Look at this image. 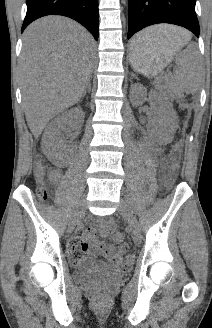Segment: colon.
I'll use <instances>...</instances> for the list:
<instances>
[{
    "label": "colon",
    "instance_id": "obj_1",
    "mask_svg": "<svg viewBox=\"0 0 212 328\" xmlns=\"http://www.w3.org/2000/svg\"><path fill=\"white\" fill-rule=\"evenodd\" d=\"M35 178L41 184L38 194L40 198L46 200L48 198L49 192L48 188L45 185L46 178V168L42 163L41 157H37V163L35 166ZM177 175V160L173 158L169 164V176L171 179H174ZM111 239L118 244V250L120 253H126L128 251L127 243L123 242V237L119 232H112ZM73 261V260H72ZM133 261V257L131 255L127 256V262L131 263Z\"/></svg>",
    "mask_w": 212,
    "mask_h": 328
}]
</instances>
